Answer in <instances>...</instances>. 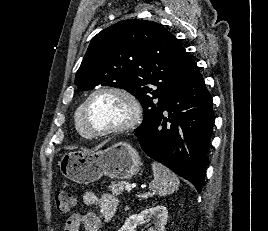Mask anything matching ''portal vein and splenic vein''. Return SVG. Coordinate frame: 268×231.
Here are the masks:
<instances>
[{"label": "portal vein and splenic vein", "instance_id": "1", "mask_svg": "<svg viewBox=\"0 0 268 231\" xmlns=\"http://www.w3.org/2000/svg\"><path fill=\"white\" fill-rule=\"evenodd\" d=\"M133 187H135L134 185H130V184H126L125 188L127 191H130Z\"/></svg>", "mask_w": 268, "mask_h": 231}]
</instances>
